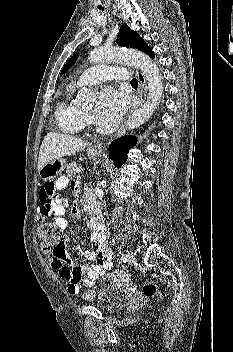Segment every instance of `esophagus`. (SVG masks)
<instances>
[{
  "label": "esophagus",
  "instance_id": "34e87169",
  "mask_svg": "<svg viewBox=\"0 0 233 352\" xmlns=\"http://www.w3.org/2000/svg\"><path fill=\"white\" fill-rule=\"evenodd\" d=\"M136 76H137L138 81H139V91H138V93H139V101H138L137 105L130 110L129 115L136 108H138L139 106L142 105V103L144 102V100L146 98V95H147V83H146V79H145L144 75L139 70H136ZM125 128H126V123H123L121 125V127L118 129L117 133L108 141L107 144H110L114 139H116V138L120 137L121 135H123V133L125 132ZM93 148L101 149V148H103V144H100V143L94 144Z\"/></svg>",
  "mask_w": 233,
  "mask_h": 352
}]
</instances>
